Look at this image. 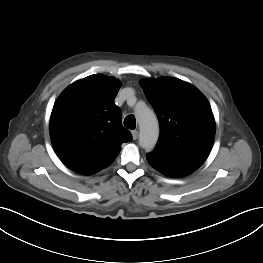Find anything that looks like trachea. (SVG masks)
<instances>
[{
	"label": "trachea",
	"instance_id": "1",
	"mask_svg": "<svg viewBox=\"0 0 263 263\" xmlns=\"http://www.w3.org/2000/svg\"><path fill=\"white\" fill-rule=\"evenodd\" d=\"M124 126L128 129H135L136 128V119L133 115H128L124 119Z\"/></svg>",
	"mask_w": 263,
	"mask_h": 263
}]
</instances>
